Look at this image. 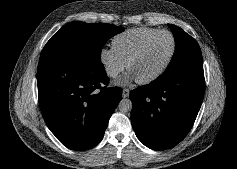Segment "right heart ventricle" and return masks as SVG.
I'll list each match as a JSON object with an SVG mask.
<instances>
[{"label":"right heart ventricle","instance_id":"e07e8e85","mask_svg":"<svg viewBox=\"0 0 237 169\" xmlns=\"http://www.w3.org/2000/svg\"><path fill=\"white\" fill-rule=\"evenodd\" d=\"M157 31L147 27L129 29L113 38L112 48L127 62L142 42Z\"/></svg>","mask_w":237,"mask_h":169}]
</instances>
